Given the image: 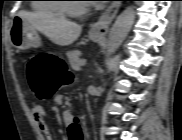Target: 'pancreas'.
Listing matches in <instances>:
<instances>
[{"label": "pancreas", "mask_w": 182, "mask_h": 140, "mask_svg": "<svg viewBox=\"0 0 182 140\" xmlns=\"http://www.w3.org/2000/svg\"><path fill=\"white\" fill-rule=\"evenodd\" d=\"M81 52L79 50L70 51L67 53V57L69 59V63L71 67L75 70H78L80 68V56Z\"/></svg>", "instance_id": "1"}]
</instances>
